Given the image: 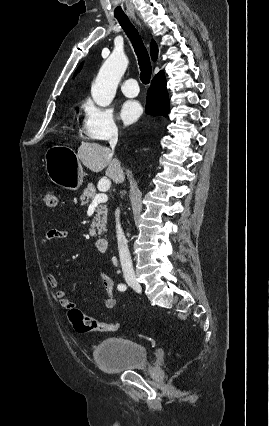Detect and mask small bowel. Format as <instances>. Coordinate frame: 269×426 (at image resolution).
Instances as JSON below:
<instances>
[{"label":"small bowel","instance_id":"c3829d8e","mask_svg":"<svg viewBox=\"0 0 269 426\" xmlns=\"http://www.w3.org/2000/svg\"><path fill=\"white\" fill-rule=\"evenodd\" d=\"M68 234V230L65 226L59 225L54 228L49 229L43 235L40 246L44 248L49 242L65 238ZM99 277L102 282V286L106 293V296L102 299L101 305L104 309L110 310L115 306V284L113 279L103 270H99ZM46 279L48 284L55 289V297L59 305L64 309H70L74 307V302L67 298L66 293L59 288V283L57 278L52 273H47Z\"/></svg>","mask_w":269,"mask_h":426}]
</instances>
